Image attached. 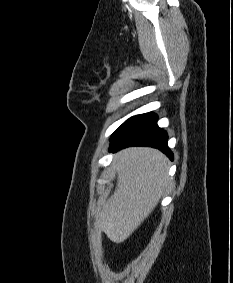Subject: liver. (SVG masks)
Segmentation results:
<instances>
[{
	"instance_id": "obj_1",
	"label": "liver",
	"mask_w": 233,
	"mask_h": 283,
	"mask_svg": "<svg viewBox=\"0 0 233 283\" xmlns=\"http://www.w3.org/2000/svg\"><path fill=\"white\" fill-rule=\"evenodd\" d=\"M117 186L107 200L100 198L95 226L115 243H122L158 205L167 186L169 161L157 149L130 147L115 154Z\"/></svg>"
}]
</instances>
